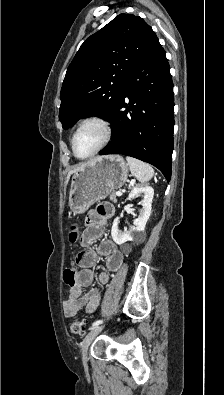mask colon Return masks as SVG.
Instances as JSON below:
<instances>
[{"instance_id": "obj_1", "label": "colon", "mask_w": 224, "mask_h": 395, "mask_svg": "<svg viewBox=\"0 0 224 395\" xmlns=\"http://www.w3.org/2000/svg\"><path fill=\"white\" fill-rule=\"evenodd\" d=\"M78 230L76 227H72L69 233V240L75 243L78 240ZM63 279L66 285L73 286L76 280V268L68 267L64 270ZM70 332L73 334L81 335L84 333V321L83 320H73L69 324Z\"/></svg>"}]
</instances>
